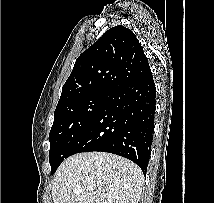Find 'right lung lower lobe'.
<instances>
[{
    "label": "right lung lower lobe",
    "instance_id": "98d812e1",
    "mask_svg": "<svg viewBox=\"0 0 214 203\" xmlns=\"http://www.w3.org/2000/svg\"><path fill=\"white\" fill-rule=\"evenodd\" d=\"M155 109L156 88L150 72L110 94L95 120L70 149L69 156L90 151L109 152L133 161L145 174Z\"/></svg>",
    "mask_w": 214,
    "mask_h": 203
}]
</instances>
